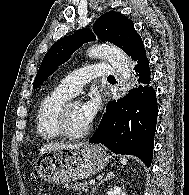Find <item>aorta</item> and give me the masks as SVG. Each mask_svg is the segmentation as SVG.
<instances>
[{
  "mask_svg": "<svg viewBox=\"0 0 189 195\" xmlns=\"http://www.w3.org/2000/svg\"><path fill=\"white\" fill-rule=\"evenodd\" d=\"M88 54L90 57H106L120 73L124 85L128 87V80L131 78V68L126 54L115 46L98 45L92 47Z\"/></svg>",
  "mask_w": 189,
  "mask_h": 195,
  "instance_id": "1",
  "label": "aorta"
}]
</instances>
